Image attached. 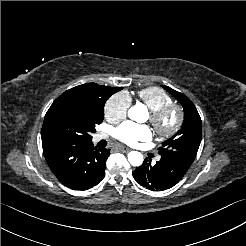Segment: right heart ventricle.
<instances>
[{
  "instance_id": "e07e8e85",
  "label": "right heart ventricle",
  "mask_w": 246,
  "mask_h": 246,
  "mask_svg": "<svg viewBox=\"0 0 246 246\" xmlns=\"http://www.w3.org/2000/svg\"><path fill=\"white\" fill-rule=\"evenodd\" d=\"M136 98L139 103L145 105L149 111H155L163 106L174 103L172 96L158 86L140 89L136 94Z\"/></svg>"
}]
</instances>
